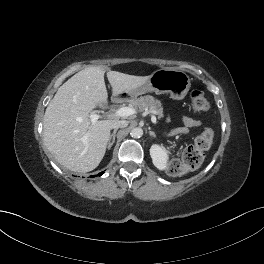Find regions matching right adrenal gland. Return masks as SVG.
<instances>
[{
    "instance_id": "1",
    "label": "right adrenal gland",
    "mask_w": 264,
    "mask_h": 264,
    "mask_svg": "<svg viewBox=\"0 0 264 264\" xmlns=\"http://www.w3.org/2000/svg\"><path fill=\"white\" fill-rule=\"evenodd\" d=\"M117 130L118 129H114L113 133L110 135L109 143H108V149H110L111 146L113 145V143L115 142V136H116Z\"/></svg>"
}]
</instances>
